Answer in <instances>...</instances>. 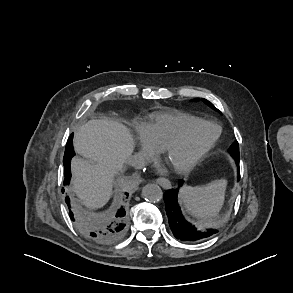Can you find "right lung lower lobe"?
Wrapping results in <instances>:
<instances>
[{"label":"right lung lower lobe","instance_id":"98d812e1","mask_svg":"<svg viewBox=\"0 0 293 293\" xmlns=\"http://www.w3.org/2000/svg\"><path fill=\"white\" fill-rule=\"evenodd\" d=\"M73 134L69 137L64 154V184L68 185L71 179L70 171V161L74 156L73 144H72ZM128 195V194H127ZM69 210H70V199L66 197L65 199ZM124 208H120L116 215H113L109 219L95 220L85 217H80L77 219L78 225L81 230L93 241L100 244H112L121 240L128 228L127 219L125 217ZM71 219L74 221V215L70 210L69 213Z\"/></svg>","mask_w":293,"mask_h":293}]
</instances>
